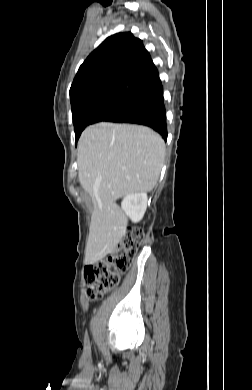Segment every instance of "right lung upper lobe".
Masks as SVG:
<instances>
[{
	"instance_id": "obj_1",
	"label": "right lung upper lobe",
	"mask_w": 252,
	"mask_h": 390,
	"mask_svg": "<svg viewBox=\"0 0 252 390\" xmlns=\"http://www.w3.org/2000/svg\"><path fill=\"white\" fill-rule=\"evenodd\" d=\"M161 84L143 42L132 33L108 37L80 66L70 88L72 111L105 97L138 99Z\"/></svg>"
}]
</instances>
